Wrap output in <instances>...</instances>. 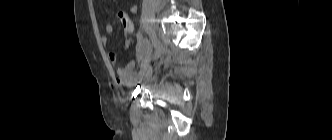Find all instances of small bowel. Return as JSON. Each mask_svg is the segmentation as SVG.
Returning a JSON list of instances; mask_svg holds the SVG:
<instances>
[{"mask_svg":"<svg viewBox=\"0 0 332 140\" xmlns=\"http://www.w3.org/2000/svg\"><path fill=\"white\" fill-rule=\"evenodd\" d=\"M138 11L137 5L130 7V12L136 14ZM114 33V27L107 23L105 25V34L101 36V41L104 45L109 42V37ZM133 47L135 50V59L124 66L117 67L116 74L118 81L124 85H134L140 82L148 75V61L150 57V48L142 36L135 38H127L123 44V48L127 49ZM109 59L112 63H116V53H109Z\"/></svg>","mask_w":332,"mask_h":140,"instance_id":"c3829d8e","label":"small bowel"}]
</instances>
